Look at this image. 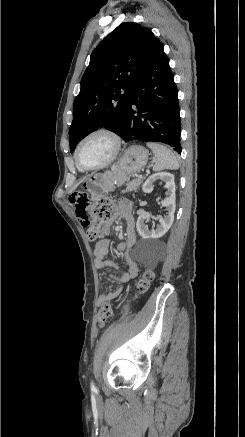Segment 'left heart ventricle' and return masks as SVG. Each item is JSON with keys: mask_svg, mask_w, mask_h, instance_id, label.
Returning a JSON list of instances; mask_svg holds the SVG:
<instances>
[{"mask_svg": "<svg viewBox=\"0 0 245 437\" xmlns=\"http://www.w3.org/2000/svg\"><path fill=\"white\" fill-rule=\"evenodd\" d=\"M113 152V141L105 135H95L87 139L79 151L80 161L87 166L100 164Z\"/></svg>", "mask_w": 245, "mask_h": 437, "instance_id": "1", "label": "left heart ventricle"}]
</instances>
